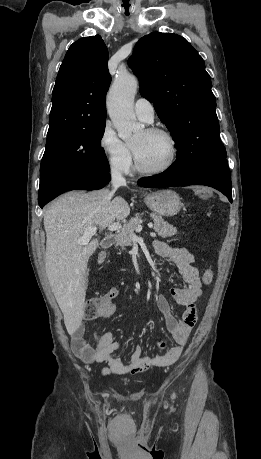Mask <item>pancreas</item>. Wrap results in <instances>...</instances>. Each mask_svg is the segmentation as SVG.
Masks as SVG:
<instances>
[{"label": "pancreas", "mask_w": 261, "mask_h": 459, "mask_svg": "<svg viewBox=\"0 0 261 459\" xmlns=\"http://www.w3.org/2000/svg\"><path fill=\"white\" fill-rule=\"evenodd\" d=\"M150 217L154 221L155 232L162 238L172 237L177 234V229L173 225L165 222L160 215L150 213ZM140 219L141 215L137 214L127 224H125L121 231L116 235V244L121 246L122 249L132 244V236L138 227Z\"/></svg>", "instance_id": "pancreas-1"}]
</instances>
